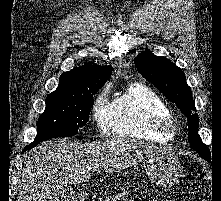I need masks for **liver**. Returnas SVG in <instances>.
Returning <instances> with one entry per match:
<instances>
[{"label": "liver", "instance_id": "liver-1", "mask_svg": "<svg viewBox=\"0 0 221 201\" xmlns=\"http://www.w3.org/2000/svg\"><path fill=\"white\" fill-rule=\"evenodd\" d=\"M165 151L171 149L128 137L88 143L66 139L43 142L24 155L18 201H60L67 185L88 179L97 166L113 173Z\"/></svg>", "mask_w": 221, "mask_h": 201}]
</instances>
